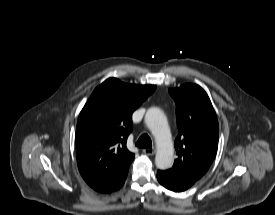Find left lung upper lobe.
<instances>
[{
    "label": "left lung upper lobe",
    "mask_w": 275,
    "mask_h": 215,
    "mask_svg": "<svg viewBox=\"0 0 275 215\" xmlns=\"http://www.w3.org/2000/svg\"><path fill=\"white\" fill-rule=\"evenodd\" d=\"M176 103L175 139L178 158L168 171L192 182L199 180L212 164L218 146L216 113L206 92L198 85L185 84L169 89Z\"/></svg>",
    "instance_id": "left-lung-upper-lobe-1"
}]
</instances>
